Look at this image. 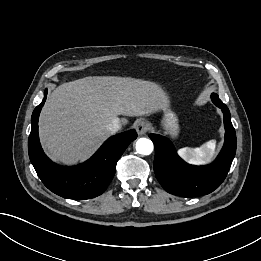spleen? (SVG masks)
<instances>
[{
  "label": "spleen",
  "instance_id": "3e777b00",
  "mask_svg": "<svg viewBox=\"0 0 261 261\" xmlns=\"http://www.w3.org/2000/svg\"><path fill=\"white\" fill-rule=\"evenodd\" d=\"M216 142L210 140L200 147H184L178 150V154L185 161L193 165H204L209 163L215 154Z\"/></svg>",
  "mask_w": 261,
  "mask_h": 261
}]
</instances>
